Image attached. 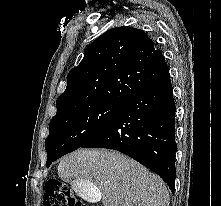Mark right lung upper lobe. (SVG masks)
<instances>
[{"mask_svg":"<svg viewBox=\"0 0 221 206\" xmlns=\"http://www.w3.org/2000/svg\"><path fill=\"white\" fill-rule=\"evenodd\" d=\"M167 72L161 51L144 31L110 29L86 48L80 64L68 73L57 113L94 103L123 106Z\"/></svg>","mask_w":221,"mask_h":206,"instance_id":"obj_1","label":"right lung upper lobe"}]
</instances>
